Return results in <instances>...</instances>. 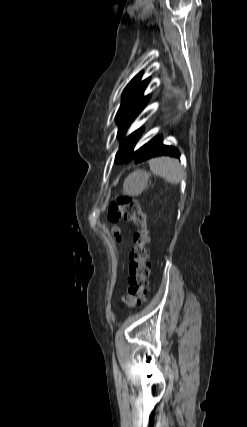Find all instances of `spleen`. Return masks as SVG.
I'll list each match as a JSON object with an SVG mask.
<instances>
[{
	"label": "spleen",
	"mask_w": 247,
	"mask_h": 427,
	"mask_svg": "<svg viewBox=\"0 0 247 427\" xmlns=\"http://www.w3.org/2000/svg\"><path fill=\"white\" fill-rule=\"evenodd\" d=\"M153 174L162 177L170 184H178L184 178V171L179 162L174 158L160 157L149 162Z\"/></svg>",
	"instance_id": "spleen-1"
}]
</instances>
